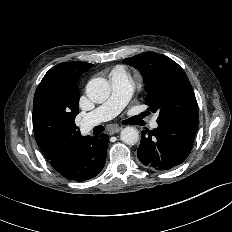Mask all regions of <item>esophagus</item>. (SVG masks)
Here are the masks:
<instances>
[{"label":"esophagus","mask_w":232,"mask_h":232,"mask_svg":"<svg viewBox=\"0 0 232 232\" xmlns=\"http://www.w3.org/2000/svg\"><path fill=\"white\" fill-rule=\"evenodd\" d=\"M122 129H123V127L114 126V127H111V128L109 129V133H110V134H115V133L120 132Z\"/></svg>","instance_id":"obj_1"}]
</instances>
